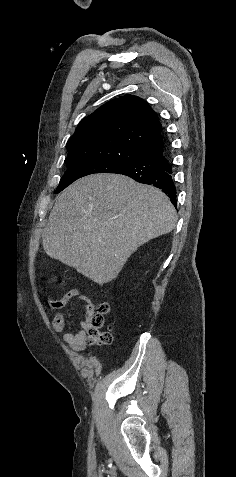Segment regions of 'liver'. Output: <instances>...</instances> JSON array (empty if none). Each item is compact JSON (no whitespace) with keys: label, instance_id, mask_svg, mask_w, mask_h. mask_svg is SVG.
I'll return each instance as SVG.
<instances>
[{"label":"liver","instance_id":"liver-1","mask_svg":"<svg viewBox=\"0 0 236 477\" xmlns=\"http://www.w3.org/2000/svg\"><path fill=\"white\" fill-rule=\"evenodd\" d=\"M176 210L159 189L119 174L81 178L57 198L43 230L51 258L99 285L149 240L171 232Z\"/></svg>","mask_w":236,"mask_h":477}]
</instances>
